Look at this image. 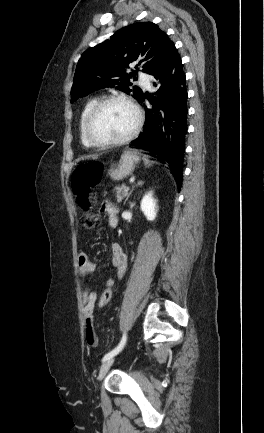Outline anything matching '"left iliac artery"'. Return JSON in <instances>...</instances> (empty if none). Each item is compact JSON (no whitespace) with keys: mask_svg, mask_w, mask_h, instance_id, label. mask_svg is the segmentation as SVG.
Here are the masks:
<instances>
[{"mask_svg":"<svg viewBox=\"0 0 264 433\" xmlns=\"http://www.w3.org/2000/svg\"><path fill=\"white\" fill-rule=\"evenodd\" d=\"M126 339H127V337H126V334L124 333L118 346L116 348H114L112 351H110L109 353H107L103 357L102 361L104 362L108 358H111V357L115 356L116 354H118L122 350V348L124 347V345L126 343Z\"/></svg>","mask_w":264,"mask_h":433,"instance_id":"1","label":"left iliac artery"}]
</instances>
